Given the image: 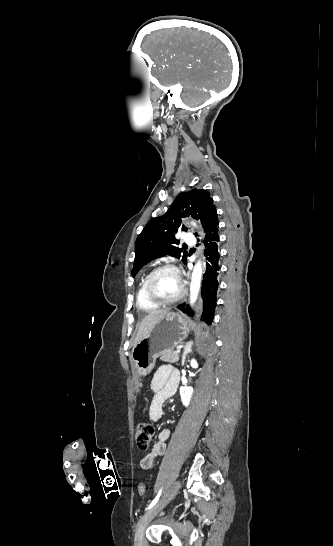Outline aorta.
I'll list each match as a JSON object with an SVG mask.
<instances>
[{
    "label": "aorta",
    "instance_id": "762f6f07",
    "mask_svg": "<svg viewBox=\"0 0 333 546\" xmlns=\"http://www.w3.org/2000/svg\"><path fill=\"white\" fill-rule=\"evenodd\" d=\"M201 278H202V267L201 262L198 261L194 267L192 277H191V284H190V303L193 304L199 293L200 285H201Z\"/></svg>",
    "mask_w": 333,
    "mask_h": 546
}]
</instances>
